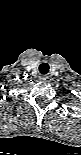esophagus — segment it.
I'll list each match as a JSON object with an SVG mask.
<instances>
[{
    "mask_svg": "<svg viewBox=\"0 0 81 155\" xmlns=\"http://www.w3.org/2000/svg\"><path fill=\"white\" fill-rule=\"evenodd\" d=\"M39 79L43 82H50L51 78L48 75H41Z\"/></svg>",
    "mask_w": 81,
    "mask_h": 155,
    "instance_id": "esophagus-1",
    "label": "esophagus"
}]
</instances>
